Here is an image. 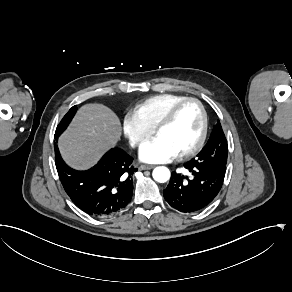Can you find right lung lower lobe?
Listing matches in <instances>:
<instances>
[{
    "instance_id": "obj_1",
    "label": "right lung lower lobe",
    "mask_w": 292,
    "mask_h": 292,
    "mask_svg": "<svg viewBox=\"0 0 292 292\" xmlns=\"http://www.w3.org/2000/svg\"><path fill=\"white\" fill-rule=\"evenodd\" d=\"M58 138L56 139V141ZM55 164L61 183L82 211L93 217H108L123 210L132 199L133 158L120 148L109 150L91 169L78 171L61 158L54 143Z\"/></svg>"
}]
</instances>
